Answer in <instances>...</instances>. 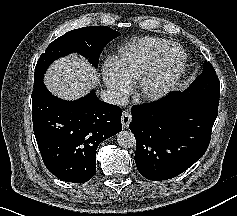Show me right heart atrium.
<instances>
[{"label": "right heart atrium", "mask_w": 237, "mask_h": 216, "mask_svg": "<svg viewBox=\"0 0 237 216\" xmlns=\"http://www.w3.org/2000/svg\"><path fill=\"white\" fill-rule=\"evenodd\" d=\"M100 76L105 86L115 97L120 98L126 96L129 93V88L127 85L115 78L106 67L101 69Z\"/></svg>", "instance_id": "right-heart-atrium-1"}]
</instances>
